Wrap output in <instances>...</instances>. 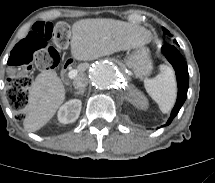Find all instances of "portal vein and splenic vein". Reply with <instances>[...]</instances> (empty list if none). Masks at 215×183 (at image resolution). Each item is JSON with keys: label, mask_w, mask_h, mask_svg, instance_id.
I'll return each mask as SVG.
<instances>
[{"label": "portal vein and splenic vein", "mask_w": 215, "mask_h": 183, "mask_svg": "<svg viewBox=\"0 0 215 183\" xmlns=\"http://www.w3.org/2000/svg\"><path fill=\"white\" fill-rule=\"evenodd\" d=\"M77 74H78V70L72 69V70L69 71L68 77H69L70 79H74V78L77 76Z\"/></svg>", "instance_id": "obj_1"}]
</instances>
